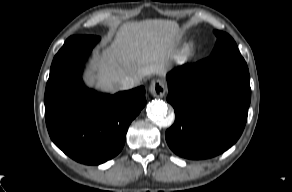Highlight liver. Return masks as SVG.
I'll return each mask as SVG.
<instances>
[{
  "label": "liver",
  "mask_w": 292,
  "mask_h": 192,
  "mask_svg": "<svg viewBox=\"0 0 292 192\" xmlns=\"http://www.w3.org/2000/svg\"><path fill=\"white\" fill-rule=\"evenodd\" d=\"M181 38L175 21L149 19L121 25L110 46L94 56L96 76L89 82L107 91L121 90L126 76L139 84L150 75L164 76Z\"/></svg>",
  "instance_id": "1"
}]
</instances>
